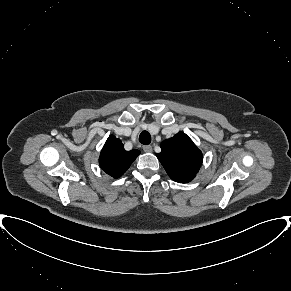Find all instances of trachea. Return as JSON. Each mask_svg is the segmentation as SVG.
<instances>
[{"mask_svg":"<svg viewBox=\"0 0 291 291\" xmlns=\"http://www.w3.org/2000/svg\"><path fill=\"white\" fill-rule=\"evenodd\" d=\"M139 142L144 145H148L151 143V135L147 131L141 132L139 135Z\"/></svg>","mask_w":291,"mask_h":291,"instance_id":"trachea-1","label":"trachea"}]
</instances>
